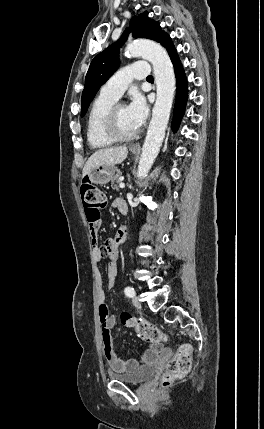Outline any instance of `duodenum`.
<instances>
[{"label":"duodenum","mask_w":264,"mask_h":429,"mask_svg":"<svg viewBox=\"0 0 264 429\" xmlns=\"http://www.w3.org/2000/svg\"><path fill=\"white\" fill-rule=\"evenodd\" d=\"M118 210H119V212H120L121 214H123V215L127 214V212H128V207H127L126 203H125V202H122L121 204H119V206H118Z\"/></svg>","instance_id":"obj_1"}]
</instances>
